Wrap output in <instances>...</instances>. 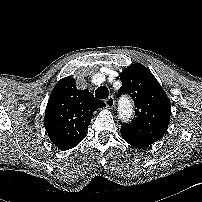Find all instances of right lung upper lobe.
Masks as SVG:
<instances>
[{"label": "right lung upper lobe", "mask_w": 202, "mask_h": 202, "mask_svg": "<svg viewBox=\"0 0 202 202\" xmlns=\"http://www.w3.org/2000/svg\"><path fill=\"white\" fill-rule=\"evenodd\" d=\"M105 107L87 89L78 90L75 79L65 77L54 87L45 111L44 126L52 143L68 150L86 136L93 112Z\"/></svg>", "instance_id": "cb5924a9"}]
</instances>
